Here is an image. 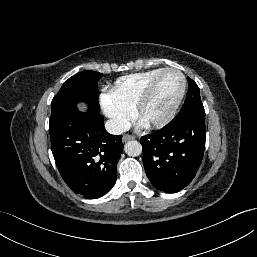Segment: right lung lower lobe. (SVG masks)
<instances>
[{"mask_svg":"<svg viewBox=\"0 0 257 257\" xmlns=\"http://www.w3.org/2000/svg\"><path fill=\"white\" fill-rule=\"evenodd\" d=\"M57 168L70 189L99 198L114 186L123 151L122 135H111L99 113L69 112L49 125Z\"/></svg>","mask_w":257,"mask_h":257,"instance_id":"obj_1","label":"right lung lower lobe"}]
</instances>
